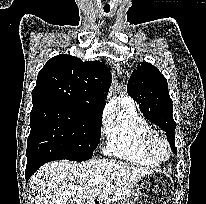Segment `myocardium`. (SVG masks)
Returning a JSON list of instances; mask_svg holds the SVG:
<instances>
[{
    "instance_id": "f54148a6",
    "label": "myocardium",
    "mask_w": 206,
    "mask_h": 204,
    "mask_svg": "<svg viewBox=\"0 0 206 204\" xmlns=\"http://www.w3.org/2000/svg\"><path fill=\"white\" fill-rule=\"evenodd\" d=\"M157 140L161 141L166 147V156L163 159L158 158L153 151V144ZM142 145L146 155L157 164L164 163L171 157L172 151L169 141L164 135L157 131L151 130L149 133H147L143 139Z\"/></svg>"
}]
</instances>
